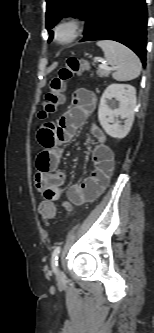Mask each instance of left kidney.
<instances>
[{"label":"left kidney","instance_id":"left-kidney-1","mask_svg":"<svg viewBox=\"0 0 154 333\" xmlns=\"http://www.w3.org/2000/svg\"><path fill=\"white\" fill-rule=\"evenodd\" d=\"M113 98L119 102L118 106L112 103ZM135 108L136 89L128 84H111L100 99L99 122L109 136L123 139L131 130Z\"/></svg>","mask_w":154,"mask_h":333}]
</instances>
